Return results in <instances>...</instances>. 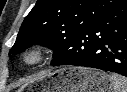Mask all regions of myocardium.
<instances>
[{
  "instance_id": "obj_1",
  "label": "myocardium",
  "mask_w": 127,
  "mask_h": 92,
  "mask_svg": "<svg viewBox=\"0 0 127 92\" xmlns=\"http://www.w3.org/2000/svg\"><path fill=\"white\" fill-rule=\"evenodd\" d=\"M48 57V51L43 46H32L25 49L19 57L20 63L31 68L42 64Z\"/></svg>"
}]
</instances>
